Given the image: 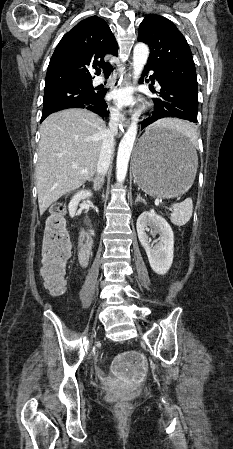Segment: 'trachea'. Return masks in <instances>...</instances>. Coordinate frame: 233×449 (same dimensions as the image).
<instances>
[{
	"mask_svg": "<svg viewBox=\"0 0 233 449\" xmlns=\"http://www.w3.org/2000/svg\"><path fill=\"white\" fill-rule=\"evenodd\" d=\"M100 67L103 69L104 74H110L113 71V66L110 63H105Z\"/></svg>",
	"mask_w": 233,
	"mask_h": 449,
	"instance_id": "obj_1",
	"label": "trachea"
}]
</instances>
